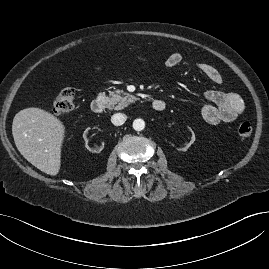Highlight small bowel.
<instances>
[{
  "label": "small bowel",
  "instance_id": "small-bowel-1",
  "mask_svg": "<svg viewBox=\"0 0 269 269\" xmlns=\"http://www.w3.org/2000/svg\"><path fill=\"white\" fill-rule=\"evenodd\" d=\"M135 59L142 63L146 62V59L141 56H136ZM181 62L182 57L178 53L170 54L165 61L168 68H175L179 66ZM196 67L212 82L217 84L222 83V75L213 65L200 62L196 64ZM204 99L205 102L201 107V115L204 121L209 124L233 122L245 109L243 99L234 92L208 90L204 93Z\"/></svg>",
  "mask_w": 269,
  "mask_h": 269
}]
</instances>
